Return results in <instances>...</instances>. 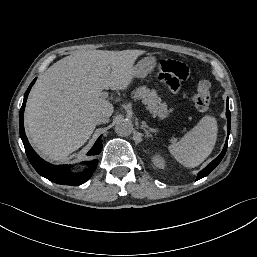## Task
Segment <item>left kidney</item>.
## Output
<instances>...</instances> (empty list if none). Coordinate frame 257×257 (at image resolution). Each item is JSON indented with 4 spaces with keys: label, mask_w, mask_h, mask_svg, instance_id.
Listing matches in <instances>:
<instances>
[{
    "label": "left kidney",
    "mask_w": 257,
    "mask_h": 257,
    "mask_svg": "<svg viewBox=\"0 0 257 257\" xmlns=\"http://www.w3.org/2000/svg\"><path fill=\"white\" fill-rule=\"evenodd\" d=\"M153 164L158 167L163 169L165 167V159L159 155V154H155L152 158Z\"/></svg>",
    "instance_id": "1"
}]
</instances>
